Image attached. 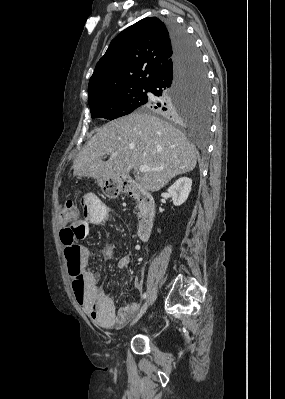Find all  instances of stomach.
I'll list each match as a JSON object with an SVG mask.
<instances>
[{
	"instance_id": "0dacf381",
	"label": "stomach",
	"mask_w": 285,
	"mask_h": 399,
	"mask_svg": "<svg viewBox=\"0 0 285 399\" xmlns=\"http://www.w3.org/2000/svg\"><path fill=\"white\" fill-rule=\"evenodd\" d=\"M98 184L103 193L109 198H116L123 191V181L121 178L99 179Z\"/></svg>"
}]
</instances>
